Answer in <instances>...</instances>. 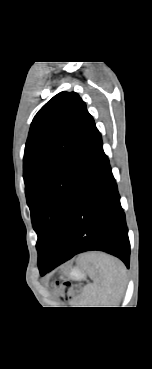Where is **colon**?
I'll list each match as a JSON object with an SVG mask.
<instances>
[{
  "mask_svg": "<svg viewBox=\"0 0 152 369\" xmlns=\"http://www.w3.org/2000/svg\"><path fill=\"white\" fill-rule=\"evenodd\" d=\"M52 287L60 292L64 301H70L78 294V289L70 283L55 282Z\"/></svg>",
  "mask_w": 152,
  "mask_h": 369,
  "instance_id": "5ec220e1",
  "label": "colon"
}]
</instances>
